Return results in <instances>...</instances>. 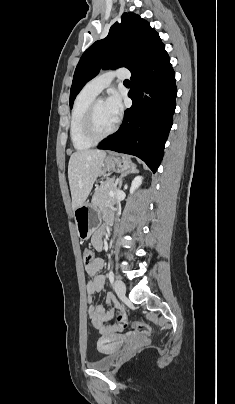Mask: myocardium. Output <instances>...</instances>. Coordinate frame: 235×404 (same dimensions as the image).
Instances as JSON below:
<instances>
[{
    "mask_svg": "<svg viewBox=\"0 0 235 404\" xmlns=\"http://www.w3.org/2000/svg\"><path fill=\"white\" fill-rule=\"evenodd\" d=\"M100 100H94L88 107L85 120L83 131L85 137L91 141L92 143H98L109 136H111L117 129V123L115 122L114 125L105 133L98 134L96 131V123H95V112H96V105Z\"/></svg>",
    "mask_w": 235,
    "mask_h": 404,
    "instance_id": "1",
    "label": "myocardium"
}]
</instances>
